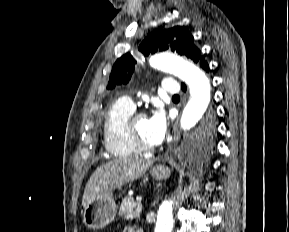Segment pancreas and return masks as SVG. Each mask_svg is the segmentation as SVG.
<instances>
[{"instance_id": "pancreas-1", "label": "pancreas", "mask_w": 289, "mask_h": 232, "mask_svg": "<svg viewBox=\"0 0 289 232\" xmlns=\"http://www.w3.org/2000/svg\"><path fill=\"white\" fill-rule=\"evenodd\" d=\"M142 205L136 203L132 197H125L122 200L119 215L124 216L126 220H134L140 216Z\"/></svg>"}]
</instances>
